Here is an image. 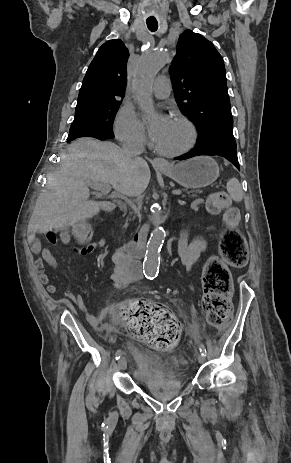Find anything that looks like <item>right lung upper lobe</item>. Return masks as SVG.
I'll return each mask as SVG.
<instances>
[{"instance_id": "right-lung-upper-lobe-1", "label": "right lung upper lobe", "mask_w": 291, "mask_h": 463, "mask_svg": "<svg viewBox=\"0 0 291 463\" xmlns=\"http://www.w3.org/2000/svg\"><path fill=\"white\" fill-rule=\"evenodd\" d=\"M129 52L119 39L109 40L90 63L79 92L75 117L120 102L127 83Z\"/></svg>"}]
</instances>
